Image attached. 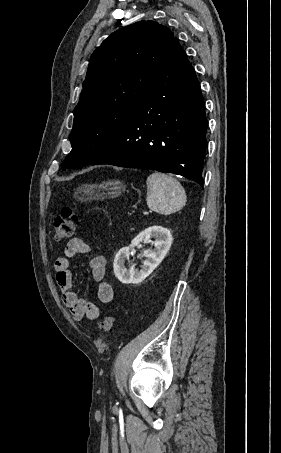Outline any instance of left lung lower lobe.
I'll return each instance as SVG.
<instances>
[{
    "label": "left lung lower lobe",
    "mask_w": 281,
    "mask_h": 453,
    "mask_svg": "<svg viewBox=\"0 0 281 453\" xmlns=\"http://www.w3.org/2000/svg\"><path fill=\"white\" fill-rule=\"evenodd\" d=\"M207 119L195 71L176 39L163 68L119 134L89 165L157 170L203 186Z\"/></svg>",
    "instance_id": "left-lung-lower-lobe-1"
}]
</instances>
